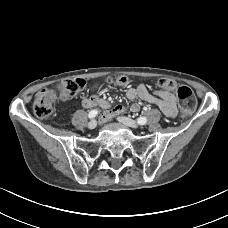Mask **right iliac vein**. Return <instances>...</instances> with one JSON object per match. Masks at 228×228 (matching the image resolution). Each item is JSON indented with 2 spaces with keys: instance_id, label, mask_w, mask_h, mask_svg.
Returning <instances> with one entry per match:
<instances>
[{
  "instance_id": "63e3f726",
  "label": "right iliac vein",
  "mask_w": 228,
  "mask_h": 228,
  "mask_svg": "<svg viewBox=\"0 0 228 228\" xmlns=\"http://www.w3.org/2000/svg\"><path fill=\"white\" fill-rule=\"evenodd\" d=\"M97 126V121L96 120H91L89 123H88V128L89 129H94L96 128Z\"/></svg>"
}]
</instances>
